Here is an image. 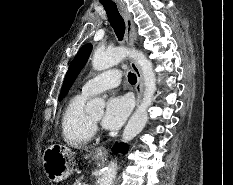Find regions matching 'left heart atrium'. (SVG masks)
Masks as SVG:
<instances>
[{"label":"left heart atrium","instance_id":"39dd6f15","mask_svg":"<svg viewBox=\"0 0 233 185\" xmlns=\"http://www.w3.org/2000/svg\"><path fill=\"white\" fill-rule=\"evenodd\" d=\"M132 105L128 96H113L106 104L102 125L109 130L119 128L130 114Z\"/></svg>","mask_w":233,"mask_h":185}]
</instances>
